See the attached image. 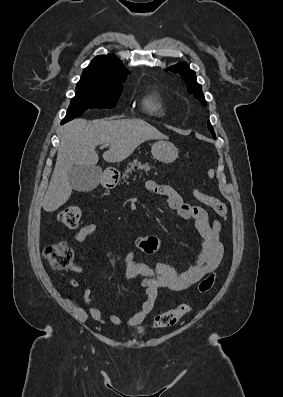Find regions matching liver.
<instances>
[{"mask_svg": "<svg viewBox=\"0 0 283 397\" xmlns=\"http://www.w3.org/2000/svg\"><path fill=\"white\" fill-rule=\"evenodd\" d=\"M166 136L142 119L95 120L75 119L63 126L55 168L44 196L43 209L53 212L72 194L68 173L74 165L95 166L99 157L96 147L109 144L103 153L109 163L128 158L143 142Z\"/></svg>", "mask_w": 283, "mask_h": 397, "instance_id": "1", "label": "liver"}]
</instances>
